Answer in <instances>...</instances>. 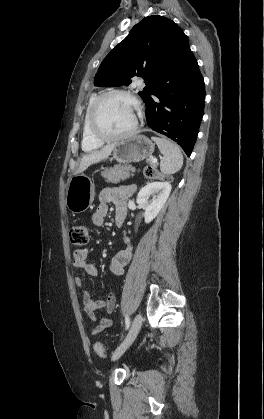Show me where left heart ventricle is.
I'll list each match as a JSON object with an SVG mask.
<instances>
[{
  "label": "left heart ventricle",
  "mask_w": 264,
  "mask_h": 419,
  "mask_svg": "<svg viewBox=\"0 0 264 419\" xmlns=\"http://www.w3.org/2000/svg\"><path fill=\"white\" fill-rule=\"evenodd\" d=\"M137 109L125 96L108 97L98 112V125L107 134H121L130 130L136 121Z\"/></svg>",
  "instance_id": "left-heart-ventricle-1"
}]
</instances>
